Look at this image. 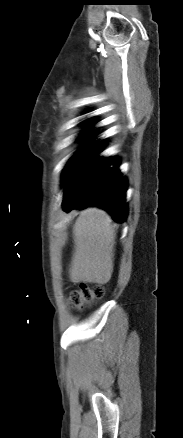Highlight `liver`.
<instances>
[{
  "label": "liver",
  "instance_id": "1",
  "mask_svg": "<svg viewBox=\"0 0 183 438\" xmlns=\"http://www.w3.org/2000/svg\"><path fill=\"white\" fill-rule=\"evenodd\" d=\"M111 217L98 208L80 212L74 227L75 250L69 270L73 283L104 285L113 272L115 230Z\"/></svg>",
  "mask_w": 183,
  "mask_h": 438
}]
</instances>
